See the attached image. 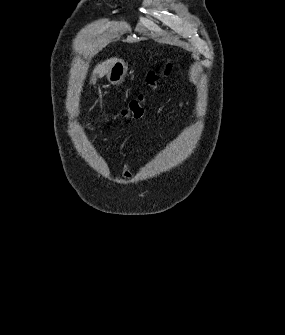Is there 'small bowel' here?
Returning a JSON list of instances; mask_svg holds the SVG:
<instances>
[{
  "mask_svg": "<svg viewBox=\"0 0 285 335\" xmlns=\"http://www.w3.org/2000/svg\"><path fill=\"white\" fill-rule=\"evenodd\" d=\"M123 177L126 179H131L132 178V172L129 167L125 166L122 170Z\"/></svg>",
  "mask_w": 285,
  "mask_h": 335,
  "instance_id": "1",
  "label": "small bowel"
}]
</instances>
